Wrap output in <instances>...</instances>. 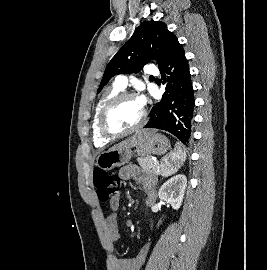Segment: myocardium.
<instances>
[{
    "instance_id": "f54148a6",
    "label": "myocardium",
    "mask_w": 267,
    "mask_h": 270,
    "mask_svg": "<svg viewBox=\"0 0 267 270\" xmlns=\"http://www.w3.org/2000/svg\"><path fill=\"white\" fill-rule=\"evenodd\" d=\"M127 99H135V96L129 92H120L119 94L115 95L113 98H111L106 105L102 108L99 119H98V128L100 134L109 140H114L118 138L125 137L127 135H130L138 130H140L146 123L147 120V113L146 110L142 108V116L140 121L132 128L121 131V132H115L113 131L109 125H108V117L111 113V111L122 101Z\"/></svg>"
}]
</instances>
